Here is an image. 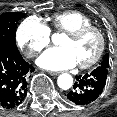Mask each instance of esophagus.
Here are the masks:
<instances>
[{
    "label": "esophagus",
    "mask_w": 117,
    "mask_h": 117,
    "mask_svg": "<svg viewBox=\"0 0 117 117\" xmlns=\"http://www.w3.org/2000/svg\"><path fill=\"white\" fill-rule=\"evenodd\" d=\"M48 74L49 75H52V76H57V75H59V72H56V71H48Z\"/></svg>",
    "instance_id": "1"
}]
</instances>
